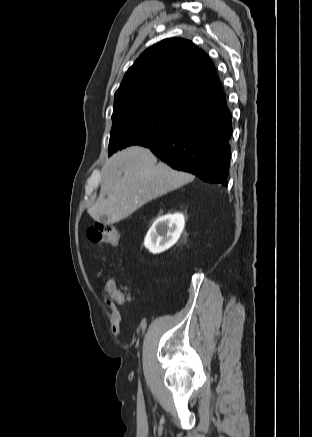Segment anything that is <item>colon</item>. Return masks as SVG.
<instances>
[{"mask_svg":"<svg viewBox=\"0 0 312 437\" xmlns=\"http://www.w3.org/2000/svg\"><path fill=\"white\" fill-rule=\"evenodd\" d=\"M88 238L96 243L116 246L120 239L119 231L111 224L99 223L95 227L88 229ZM105 289L109 295L118 303L125 304L128 300L126 294L119 290L112 280L105 282Z\"/></svg>","mask_w":312,"mask_h":437,"instance_id":"5ec220e1","label":"colon"}]
</instances>
